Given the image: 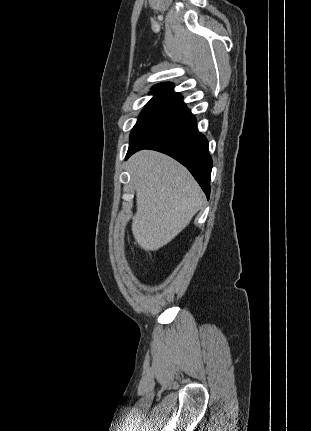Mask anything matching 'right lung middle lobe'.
<instances>
[{
  "label": "right lung middle lobe",
  "instance_id": "1",
  "mask_svg": "<svg viewBox=\"0 0 311 431\" xmlns=\"http://www.w3.org/2000/svg\"><path fill=\"white\" fill-rule=\"evenodd\" d=\"M154 97L146 104L130 133V141L163 111L181 100L180 97L152 91Z\"/></svg>",
  "mask_w": 311,
  "mask_h": 431
}]
</instances>
